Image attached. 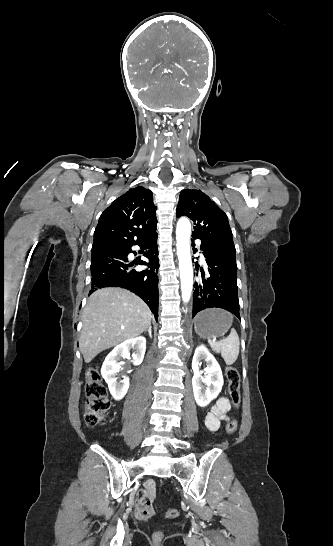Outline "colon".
I'll return each mask as SVG.
<instances>
[{"instance_id":"5ec220e1","label":"colon","mask_w":333,"mask_h":546,"mask_svg":"<svg viewBox=\"0 0 333 546\" xmlns=\"http://www.w3.org/2000/svg\"><path fill=\"white\" fill-rule=\"evenodd\" d=\"M225 375L231 404L235 408H238L241 403L239 372L235 367L228 366L225 369ZM85 391L87 397L85 406V423L88 427L93 428L102 422L110 407L107 389L102 381L98 368H90L87 371ZM225 429L228 434H233L237 429V421H229L226 424ZM164 515L166 518L174 519L180 515V511L173 508L165 511ZM155 537L157 539H161L162 533L156 532Z\"/></svg>"}]
</instances>
